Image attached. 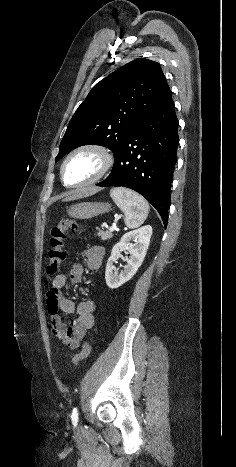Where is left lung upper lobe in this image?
I'll return each mask as SVG.
<instances>
[{
  "label": "left lung upper lobe",
  "mask_w": 236,
  "mask_h": 467,
  "mask_svg": "<svg viewBox=\"0 0 236 467\" xmlns=\"http://www.w3.org/2000/svg\"><path fill=\"white\" fill-rule=\"evenodd\" d=\"M157 62L135 59L97 83L78 107L60 143L56 161L87 144L116 157L129 132L169 92Z\"/></svg>",
  "instance_id": "5c2ea615"
}]
</instances>
